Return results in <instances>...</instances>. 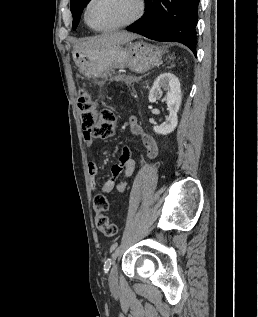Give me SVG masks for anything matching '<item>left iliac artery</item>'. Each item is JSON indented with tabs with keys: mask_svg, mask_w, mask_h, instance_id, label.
Listing matches in <instances>:
<instances>
[{
	"mask_svg": "<svg viewBox=\"0 0 258 317\" xmlns=\"http://www.w3.org/2000/svg\"><path fill=\"white\" fill-rule=\"evenodd\" d=\"M119 250H120V245L114 250V252H113L112 255H111V258H112L113 261L116 260L117 255H118V253H119Z\"/></svg>",
	"mask_w": 258,
	"mask_h": 317,
	"instance_id": "44dca946",
	"label": "left iliac artery"
}]
</instances>
